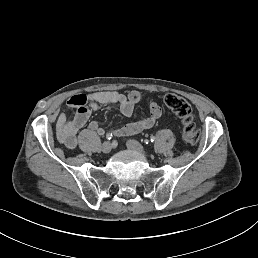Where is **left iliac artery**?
Instances as JSON below:
<instances>
[{
  "label": "left iliac artery",
  "mask_w": 258,
  "mask_h": 258,
  "mask_svg": "<svg viewBox=\"0 0 258 258\" xmlns=\"http://www.w3.org/2000/svg\"><path fill=\"white\" fill-rule=\"evenodd\" d=\"M151 143L155 141V137L154 136H151L150 137V140H149Z\"/></svg>",
  "instance_id": "obj_1"
}]
</instances>
